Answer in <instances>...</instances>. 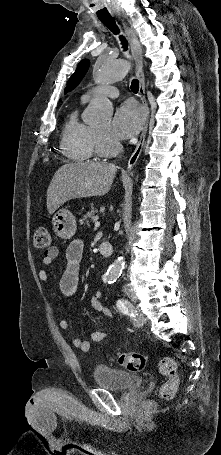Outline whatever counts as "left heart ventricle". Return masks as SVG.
Returning a JSON list of instances; mask_svg holds the SVG:
<instances>
[{"mask_svg":"<svg viewBox=\"0 0 221 455\" xmlns=\"http://www.w3.org/2000/svg\"><path fill=\"white\" fill-rule=\"evenodd\" d=\"M96 129L99 132H101L103 135H105L106 137L113 139L110 136V134H109V129H110V123L109 122H106V123H104L102 125L97 126Z\"/></svg>","mask_w":221,"mask_h":455,"instance_id":"1","label":"left heart ventricle"}]
</instances>
